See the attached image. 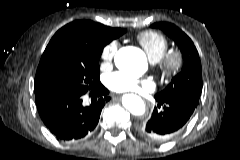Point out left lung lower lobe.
<instances>
[{
	"instance_id": "left-lung-lower-lobe-1",
	"label": "left lung lower lobe",
	"mask_w": 240,
	"mask_h": 160,
	"mask_svg": "<svg viewBox=\"0 0 240 160\" xmlns=\"http://www.w3.org/2000/svg\"><path fill=\"white\" fill-rule=\"evenodd\" d=\"M158 108L155 107L152 117L146 123L137 126V132L144 139L161 143L177 135L193 114L196 104L174 98H155Z\"/></svg>"
}]
</instances>
